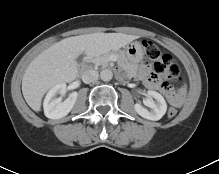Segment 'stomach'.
Returning a JSON list of instances; mask_svg holds the SVG:
<instances>
[{
	"instance_id": "1",
	"label": "stomach",
	"mask_w": 219,
	"mask_h": 174,
	"mask_svg": "<svg viewBox=\"0 0 219 174\" xmlns=\"http://www.w3.org/2000/svg\"><path fill=\"white\" fill-rule=\"evenodd\" d=\"M124 54L129 62L138 63L144 57V48L137 41L131 42L125 47Z\"/></svg>"
}]
</instances>
